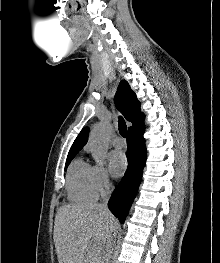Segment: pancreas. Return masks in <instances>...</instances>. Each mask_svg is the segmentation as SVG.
I'll return each mask as SVG.
<instances>
[{
  "instance_id": "obj_1",
  "label": "pancreas",
  "mask_w": 220,
  "mask_h": 263,
  "mask_svg": "<svg viewBox=\"0 0 220 263\" xmlns=\"http://www.w3.org/2000/svg\"><path fill=\"white\" fill-rule=\"evenodd\" d=\"M103 256L99 253H95L93 263H103L102 262Z\"/></svg>"
}]
</instances>
